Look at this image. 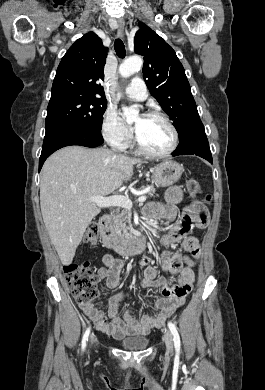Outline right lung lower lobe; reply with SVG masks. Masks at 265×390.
Here are the masks:
<instances>
[{
  "label": "right lung lower lobe",
  "mask_w": 265,
  "mask_h": 390,
  "mask_svg": "<svg viewBox=\"0 0 265 390\" xmlns=\"http://www.w3.org/2000/svg\"><path fill=\"white\" fill-rule=\"evenodd\" d=\"M45 128L39 171L47 157L62 147L70 145L97 147L104 142L101 132L71 122H47Z\"/></svg>",
  "instance_id": "right-lung-lower-lobe-1"
}]
</instances>
